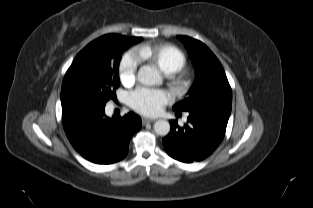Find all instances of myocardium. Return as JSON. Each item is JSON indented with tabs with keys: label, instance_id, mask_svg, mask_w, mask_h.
Instances as JSON below:
<instances>
[{
	"label": "myocardium",
	"instance_id": "f54148a6",
	"mask_svg": "<svg viewBox=\"0 0 313 208\" xmlns=\"http://www.w3.org/2000/svg\"><path fill=\"white\" fill-rule=\"evenodd\" d=\"M181 83H183V84H185L186 83V81L185 80H182V81H180Z\"/></svg>",
	"mask_w": 313,
	"mask_h": 208
}]
</instances>
